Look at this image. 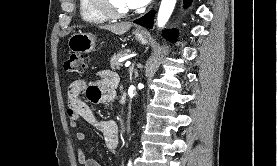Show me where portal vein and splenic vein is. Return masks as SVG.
<instances>
[{
	"mask_svg": "<svg viewBox=\"0 0 277 166\" xmlns=\"http://www.w3.org/2000/svg\"><path fill=\"white\" fill-rule=\"evenodd\" d=\"M130 64H131V62H130V61H127V62L125 63V67H129Z\"/></svg>",
	"mask_w": 277,
	"mask_h": 166,
	"instance_id": "1",
	"label": "portal vein and splenic vein"
}]
</instances>
